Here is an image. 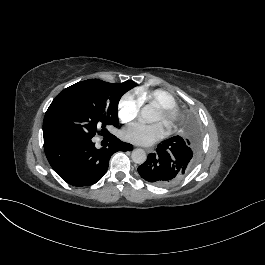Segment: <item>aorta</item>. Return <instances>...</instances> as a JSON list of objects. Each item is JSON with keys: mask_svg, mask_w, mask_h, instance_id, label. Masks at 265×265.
<instances>
[{"mask_svg": "<svg viewBox=\"0 0 265 265\" xmlns=\"http://www.w3.org/2000/svg\"><path fill=\"white\" fill-rule=\"evenodd\" d=\"M151 114V108L149 106H145L141 110L140 119L144 122H148L151 120ZM131 158L134 163L143 164L146 161L147 156L143 149L137 148L132 151Z\"/></svg>", "mask_w": 265, "mask_h": 265, "instance_id": "762f6f07", "label": "aorta"}]
</instances>
